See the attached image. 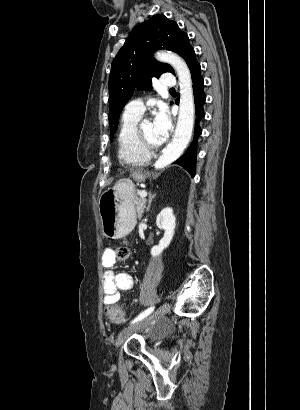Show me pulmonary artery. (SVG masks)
<instances>
[{"mask_svg": "<svg viewBox=\"0 0 300 410\" xmlns=\"http://www.w3.org/2000/svg\"><path fill=\"white\" fill-rule=\"evenodd\" d=\"M161 85L163 87H174L176 85V80L171 74L161 75ZM126 111L142 114L144 111L143 101L141 99H134L126 105Z\"/></svg>", "mask_w": 300, "mask_h": 410, "instance_id": "obj_1", "label": "pulmonary artery"}]
</instances>
